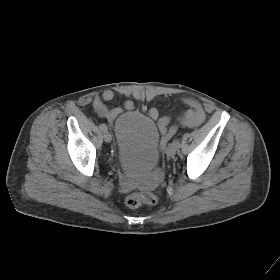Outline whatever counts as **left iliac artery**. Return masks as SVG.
<instances>
[{"label": "left iliac artery", "instance_id": "left-iliac-artery-1", "mask_svg": "<svg viewBox=\"0 0 280 280\" xmlns=\"http://www.w3.org/2000/svg\"><path fill=\"white\" fill-rule=\"evenodd\" d=\"M172 146H174L175 148H179V147H180L179 141H178V140H174V141L172 142Z\"/></svg>", "mask_w": 280, "mask_h": 280}]
</instances>
